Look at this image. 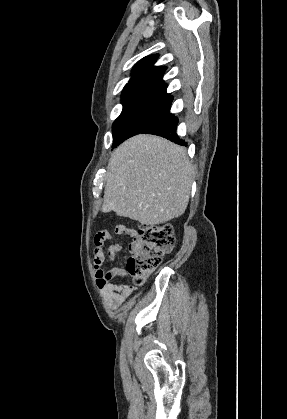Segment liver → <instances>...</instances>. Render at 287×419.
<instances>
[{
    "mask_svg": "<svg viewBox=\"0 0 287 419\" xmlns=\"http://www.w3.org/2000/svg\"><path fill=\"white\" fill-rule=\"evenodd\" d=\"M193 173L184 147L158 136H134L109 159L102 212L151 226L168 222L185 212Z\"/></svg>",
    "mask_w": 287,
    "mask_h": 419,
    "instance_id": "liver-1",
    "label": "liver"
}]
</instances>
